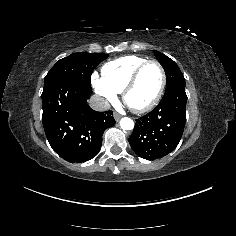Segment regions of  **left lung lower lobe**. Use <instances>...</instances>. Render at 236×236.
<instances>
[{
  "instance_id": "left-lung-lower-lobe-1",
  "label": "left lung lower lobe",
  "mask_w": 236,
  "mask_h": 236,
  "mask_svg": "<svg viewBox=\"0 0 236 236\" xmlns=\"http://www.w3.org/2000/svg\"><path fill=\"white\" fill-rule=\"evenodd\" d=\"M186 102L184 87L169 89L150 113L136 120L129 143L138 156L155 160L177 147L185 127Z\"/></svg>"
}]
</instances>
